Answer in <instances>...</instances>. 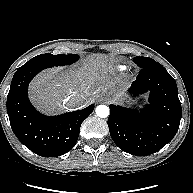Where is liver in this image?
<instances>
[{
  "label": "liver",
  "instance_id": "6515ba94",
  "mask_svg": "<svg viewBox=\"0 0 193 193\" xmlns=\"http://www.w3.org/2000/svg\"><path fill=\"white\" fill-rule=\"evenodd\" d=\"M114 76L113 60L94 55L80 66L67 70L51 68L39 73L29 86L30 100L40 111L53 114L72 95L82 96L85 105L92 103L98 94L116 93L115 97L119 98L124 89L116 88L119 78Z\"/></svg>",
  "mask_w": 193,
  "mask_h": 193
}]
</instances>
